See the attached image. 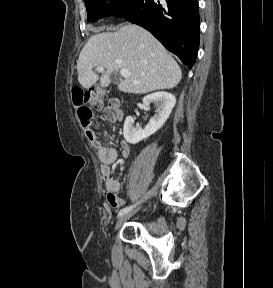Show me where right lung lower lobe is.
<instances>
[{
    "label": "right lung lower lobe",
    "mask_w": 273,
    "mask_h": 288,
    "mask_svg": "<svg viewBox=\"0 0 273 288\" xmlns=\"http://www.w3.org/2000/svg\"><path fill=\"white\" fill-rule=\"evenodd\" d=\"M151 32L191 68L199 48L198 0H138L122 16Z\"/></svg>",
    "instance_id": "1"
}]
</instances>
